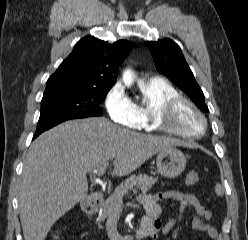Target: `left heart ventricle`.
I'll list each match as a JSON object with an SVG mask.
<instances>
[{
  "instance_id": "left-heart-ventricle-1",
  "label": "left heart ventricle",
  "mask_w": 248,
  "mask_h": 240,
  "mask_svg": "<svg viewBox=\"0 0 248 240\" xmlns=\"http://www.w3.org/2000/svg\"><path fill=\"white\" fill-rule=\"evenodd\" d=\"M174 125L192 134L200 133L204 127L202 119L187 105H182L177 110Z\"/></svg>"
}]
</instances>
